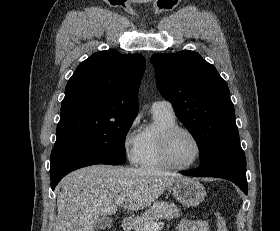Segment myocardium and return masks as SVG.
I'll list each match as a JSON object with an SVG mask.
<instances>
[{
	"label": "myocardium",
	"instance_id": "myocardium-1",
	"mask_svg": "<svg viewBox=\"0 0 280 231\" xmlns=\"http://www.w3.org/2000/svg\"><path fill=\"white\" fill-rule=\"evenodd\" d=\"M178 133H186V134L190 135L197 144V147H198L197 158H196L195 162L190 165H186V166L177 165L171 157V154H170L171 142ZM159 149H160V155H161V158L163 159V161L170 168L176 169V170L192 169L200 163V161L202 160V157H203V144H202L200 138L197 136V134L189 128L178 126V125L164 129L161 132L160 137H159Z\"/></svg>",
	"mask_w": 280,
	"mask_h": 231
}]
</instances>
